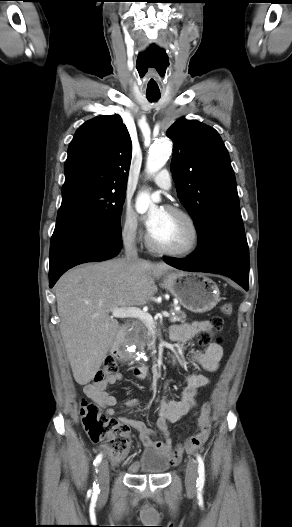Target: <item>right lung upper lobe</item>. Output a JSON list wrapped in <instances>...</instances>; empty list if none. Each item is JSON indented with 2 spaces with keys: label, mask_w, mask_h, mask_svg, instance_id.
Segmentation results:
<instances>
[{
  "label": "right lung upper lobe",
  "mask_w": 292,
  "mask_h": 527,
  "mask_svg": "<svg viewBox=\"0 0 292 527\" xmlns=\"http://www.w3.org/2000/svg\"><path fill=\"white\" fill-rule=\"evenodd\" d=\"M132 156L130 135L118 115H101L76 131L65 162V183L83 181L126 189Z\"/></svg>",
  "instance_id": "obj_1"
}]
</instances>
